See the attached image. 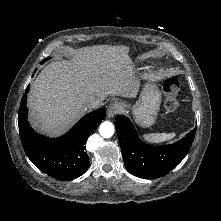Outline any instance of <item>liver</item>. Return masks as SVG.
Returning a JSON list of instances; mask_svg holds the SVG:
<instances>
[{"label":"liver","mask_w":221,"mask_h":221,"mask_svg":"<svg viewBox=\"0 0 221 221\" xmlns=\"http://www.w3.org/2000/svg\"><path fill=\"white\" fill-rule=\"evenodd\" d=\"M127 46L95 45L72 51L69 61L47 65L31 85L30 122L38 131L58 136L86 112L92 99L135 97L137 81Z\"/></svg>","instance_id":"liver-1"}]
</instances>
